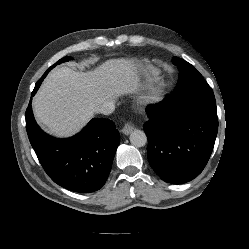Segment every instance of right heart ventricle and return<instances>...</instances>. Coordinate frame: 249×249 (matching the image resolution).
<instances>
[{"instance_id": "e07e8e85", "label": "right heart ventricle", "mask_w": 249, "mask_h": 249, "mask_svg": "<svg viewBox=\"0 0 249 249\" xmlns=\"http://www.w3.org/2000/svg\"><path fill=\"white\" fill-rule=\"evenodd\" d=\"M144 73L149 77H157L159 74V71L156 69H145Z\"/></svg>"}]
</instances>
